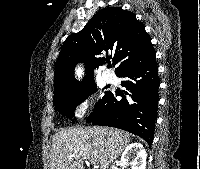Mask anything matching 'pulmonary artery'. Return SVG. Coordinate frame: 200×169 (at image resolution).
<instances>
[{
    "instance_id": "pulmonary-artery-1",
    "label": "pulmonary artery",
    "mask_w": 200,
    "mask_h": 169,
    "mask_svg": "<svg viewBox=\"0 0 200 169\" xmlns=\"http://www.w3.org/2000/svg\"><path fill=\"white\" fill-rule=\"evenodd\" d=\"M102 78L105 82L107 83H111L115 80V77L112 73L108 72V71H105L103 74H102Z\"/></svg>"
}]
</instances>
